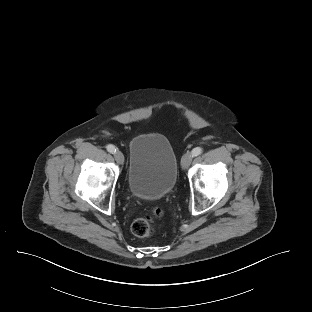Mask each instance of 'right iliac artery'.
Wrapping results in <instances>:
<instances>
[{"label":"right iliac artery","instance_id":"obj_1","mask_svg":"<svg viewBox=\"0 0 312 312\" xmlns=\"http://www.w3.org/2000/svg\"><path fill=\"white\" fill-rule=\"evenodd\" d=\"M106 148H107V151L110 152V153H115L116 152L115 146H113L111 144L107 145Z\"/></svg>","mask_w":312,"mask_h":312}]
</instances>
